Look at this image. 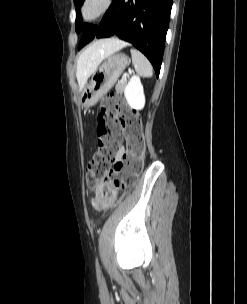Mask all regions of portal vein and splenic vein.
<instances>
[{
	"instance_id": "obj_1",
	"label": "portal vein and splenic vein",
	"mask_w": 247,
	"mask_h": 304,
	"mask_svg": "<svg viewBox=\"0 0 247 304\" xmlns=\"http://www.w3.org/2000/svg\"><path fill=\"white\" fill-rule=\"evenodd\" d=\"M127 76H129V73H124V74H123V78L126 79Z\"/></svg>"
}]
</instances>
